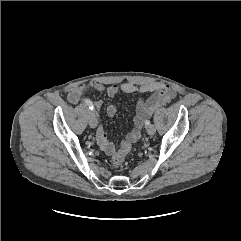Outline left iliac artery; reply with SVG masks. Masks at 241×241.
Returning <instances> with one entry per match:
<instances>
[{
  "label": "left iliac artery",
  "mask_w": 241,
  "mask_h": 241,
  "mask_svg": "<svg viewBox=\"0 0 241 241\" xmlns=\"http://www.w3.org/2000/svg\"><path fill=\"white\" fill-rule=\"evenodd\" d=\"M145 124H146V125H149V124H150V121H149V120H146V121H145Z\"/></svg>",
  "instance_id": "obj_1"
}]
</instances>
